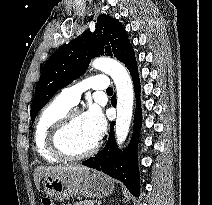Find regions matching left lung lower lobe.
Masks as SVG:
<instances>
[{
    "label": "left lung lower lobe",
    "instance_id": "0a47b994",
    "mask_svg": "<svg viewBox=\"0 0 212 205\" xmlns=\"http://www.w3.org/2000/svg\"><path fill=\"white\" fill-rule=\"evenodd\" d=\"M124 64L131 73L135 87V95L137 98L136 113L134 119V135L130 149L124 150L122 153L120 152V150L117 149V145L113 137L114 123H111L109 138L104 149L97 155H95V157H92L82 162V164L97 169L99 171H102L105 174L122 181L134 196H139L140 180H139L138 164L136 159L137 157L136 144L138 141L142 121H141V107L139 100L140 80L134 52H132L129 55Z\"/></svg>",
    "mask_w": 212,
    "mask_h": 205
}]
</instances>
